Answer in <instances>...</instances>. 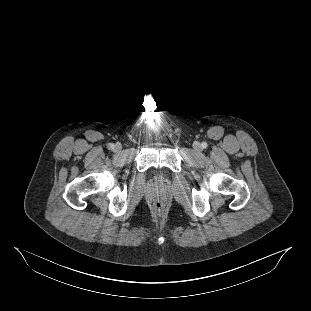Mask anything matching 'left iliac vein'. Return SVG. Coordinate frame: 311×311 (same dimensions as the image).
Instances as JSON below:
<instances>
[{"instance_id":"4c4485c4","label":"left iliac vein","mask_w":311,"mask_h":311,"mask_svg":"<svg viewBox=\"0 0 311 311\" xmlns=\"http://www.w3.org/2000/svg\"><path fill=\"white\" fill-rule=\"evenodd\" d=\"M194 149L196 151H200L201 150V145L198 143V142H195L194 145H193Z\"/></svg>"}]
</instances>
